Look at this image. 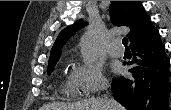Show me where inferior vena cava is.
Masks as SVG:
<instances>
[{"mask_svg":"<svg viewBox=\"0 0 171 110\" xmlns=\"http://www.w3.org/2000/svg\"><path fill=\"white\" fill-rule=\"evenodd\" d=\"M101 88H102V89H107V88H108V84H107V83H103V84L101 85Z\"/></svg>","mask_w":171,"mask_h":110,"instance_id":"obj_1","label":"inferior vena cava"}]
</instances>
